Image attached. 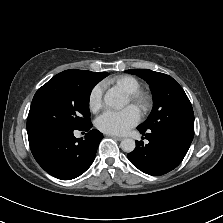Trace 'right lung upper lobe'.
Here are the masks:
<instances>
[{"label": "right lung upper lobe", "instance_id": "1", "mask_svg": "<svg viewBox=\"0 0 223 223\" xmlns=\"http://www.w3.org/2000/svg\"><path fill=\"white\" fill-rule=\"evenodd\" d=\"M107 75H108L107 72L97 73V72H91L87 70H75V69L66 70L57 74V76H68V77L91 76L99 80H102Z\"/></svg>", "mask_w": 223, "mask_h": 223}]
</instances>
